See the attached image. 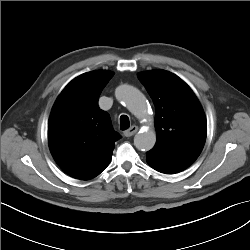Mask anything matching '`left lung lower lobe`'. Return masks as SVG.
I'll list each match as a JSON object with an SVG mask.
<instances>
[{
    "label": "left lung lower lobe",
    "instance_id": "0a47b994",
    "mask_svg": "<svg viewBox=\"0 0 250 250\" xmlns=\"http://www.w3.org/2000/svg\"><path fill=\"white\" fill-rule=\"evenodd\" d=\"M196 159L192 156L168 155L153 150L146 152V160L149 166L166 174L180 172L189 167Z\"/></svg>",
    "mask_w": 250,
    "mask_h": 250
}]
</instances>
